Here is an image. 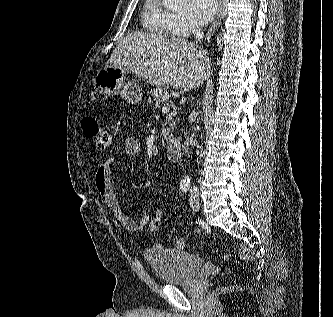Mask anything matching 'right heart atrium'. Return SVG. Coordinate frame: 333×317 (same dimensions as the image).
<instances>
[{"label":"right heart atrium","mask_w":333,"mask_h":317,"mask_svg":"<svg viewBox=\"0 0 333 317\" xmlns=\"http://www.w3.org/2000/svg\"><path fill=\"white\" fill-rule=\"evenodd\" d=\"M172 29L177 35H187L195 30V26L186 16L173 14Z\"/></svg>","instance_id":"right-heart-atrium-1"}]
</instances>
